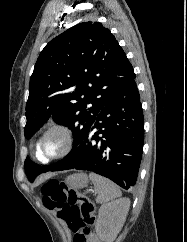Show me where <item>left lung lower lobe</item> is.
Wrapping results in <instances>:
<instances>
[{"mask_svg":"<svg viewBox=\"0 0 187 242\" xmlns=\"http://www.w3.org/2000/svg\"><path fill=\"white\" fill-rule=\"evenodd\" d=\"M143 142L144 118L134 78L102 108L78 147L50 171L87 170L128 190L136 184Z\"/></svg>","mask_w":187,"mask_h":242,"instance_id":"left-lung-lower-lobe-1","label":"left lung lower lobe"}]
</instances>
